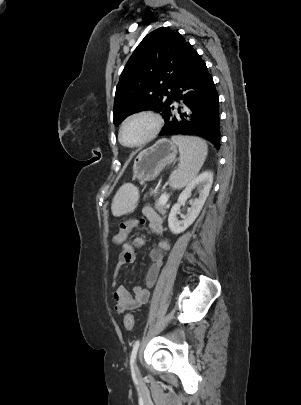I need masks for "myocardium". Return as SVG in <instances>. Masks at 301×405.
Wrapping results in <instances>:
<instances>
[{
	"label": "myocardium",
	"instance_id": "obj_1",
	"mask_svg": "<svg viewBox=\"0 0 301 405\" xmlns=\"http://www.w3.org/2000/svg\"><path fill=\"white\" fill-rule=\"evenodd\" d=\"M136 118H148L152 121V129L149 132V134L140 142L133 144V145H128L126 144L123 139H122V133L123 130L125 128V126L132 120L136 119ZM163 127V118L161 117L160 114H158L157 112L153 111V110H140V111H136L131 113L130 115H128L123 122L120 125L119 128V132H118V139L119 142L127 147V148H139L142 147L144 145H146L147 143H149L150 141H152L161 131Z\"/></svg>",
	"mask_w": 301,
	"mask_h": 405
}]
</instances>
